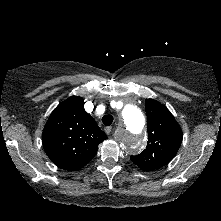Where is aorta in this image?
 Wrapping results in <instances>:
<instances>
[{
	"instance_id": "762f6f07",
	"label": "aorta",
	"mask_w": 221,
	"mask_h": 221,
	"mask_svg": "<svg viewBox=\"0 0 221 221\" xmlns=\"http://www.w3.org/2000/svg\"><path fill=\"white\" fill-rule=\"evenodd\" d=\"M117 140L131 154L138 153L144 146L145 117L137 106L127 104L121 110Z\"/></svg>"
}]
</instances>
